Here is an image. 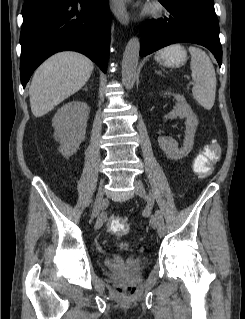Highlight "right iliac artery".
<instances>
[{
    "label": "right iliac artery",
    "mask_w": 245,
    "mask_h": 319,
    "mask_svg": "<svg viewBox=\"0 0 245 319\" xmlns=\"http://www.w3.org/2000/svg\"><path fill=\"white\" fill-rule=\"evenodd\" d=\"M97 224H99V227H101L102 226V223H103V221H102V219H99V220H97V222H96Z\"/></svg>",
    "instance_id": "1"
}]
</instances>
